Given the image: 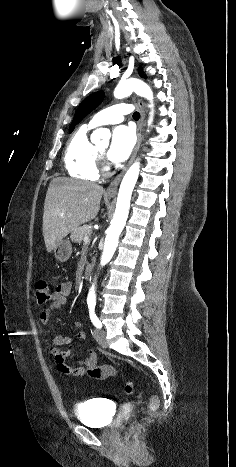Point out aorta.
<instances>
[{"instance_id": "obj_1", "label": "aorta", "mask_w": 236, "mask_h": 467, "mask_svg": "<svg viewBox=\"0 0 236 467\" xmlns=\"http://www.w3.org/2000/svg\"><path fill=\"white\" fill-rule=\"evenodd\" d=\"M135 92L137 95L146 98L150 102V115L148 119V126L153 122L154 115V104H153V92L151 88L143 81L139 79H128L120 81L117 87L114 90V97L117 99H122L129 96L131 93ZM104 135L103 129H97L92 134V139H98ZM140 171V161L137 159L127 170L123 180L121 182L117 204L112 219L110 227L107 229L104 249L101 256L100 264L101 266L106 265L112 258L119 241V236L126 224L129 209H130V200L132 191L137 182ZM96 299L95 295V284H92L87 300L94 301Z\"/></svg>"}]
</instances>
